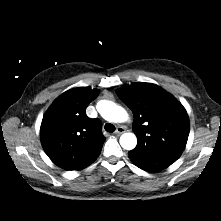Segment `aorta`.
<instances>
[{"instance_id": "762f6f07", "label": "aorta", "mask_w": 221, "mask_h": 221, "mask_svg": "<svg viewBox=\"0 0 221 221\" xmlns=\"http://www.w3.org/2000/svg\"><path fill=\"white\" fill-rule=\"evenodd\" d=\"M100 115L109 122L121 123L128 119L126 110L112 101L102 100L97 104ZM120 145L126 150H132L137 145V138L133 133H124L120 137Z\"/></svg>"}]
</instances>
